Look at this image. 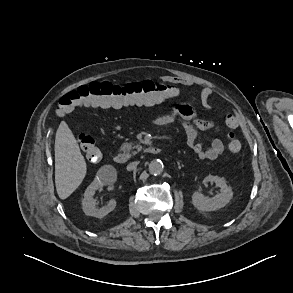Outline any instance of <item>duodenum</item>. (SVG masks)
<instances>
[{"mask_svg": "<svg viewBox=\"0 0 293 293\" xmlns=\"http://www.w3.org/2000/svg\"><path fill=\"white\" fill-rule=\"evenodd\" d=\"M145 151L148 154L157 155L161 152V149L157 146H149L145 149ZM128 160H129L128 156L124 153H118L114 156L115 163L120 165L126 164Z\"/></svg>", "mask_w": 293, "mask_h": 293, "instance_id": "duodenum-1", "label": "duodenum"}]
</instances>
